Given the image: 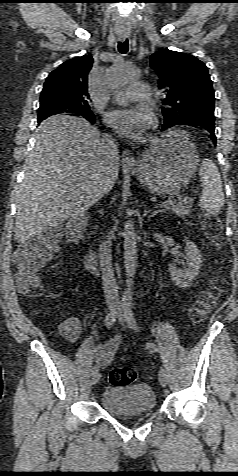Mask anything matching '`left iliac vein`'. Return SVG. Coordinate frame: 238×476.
Masks as SVG:
<instances>
[{"label":"left iliac vein","mask_w":238,"mask_h":476,"mask_svg":"<svg viewBox=\"0 0 238 476\" xmlns=\"http://www.w3.org/2000/svg\"><path fill=\"white\" fill-rule=\"evenodd\" d=\"M119 322L121 324H123V322H124V316L122 314L119 315ZM158 378H159L160 384L163 387H166L167 383H168V375H167L166 370L163 367H161L160 370H159Z\"/></svg>","instance_id":"obj_1"}]
</instances>
